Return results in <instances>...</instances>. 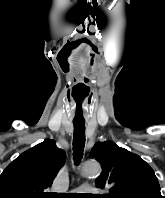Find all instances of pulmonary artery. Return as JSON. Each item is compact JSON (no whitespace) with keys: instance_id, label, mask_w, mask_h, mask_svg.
<instances>
[{"instance_id":"1","label":"pulmonary artery","mask_w":165,"mask_h":198,"mask_svg":"<svg viewBox=\"0 0 165 198\" xmlns=\"http://www.w3.org/2000/svg\"><path fill=\"white\" fill-rule=\"evenodd\" d=\"M90 190H93V187L88 186V185H82L78 188V191L80 192H88Z\"/></svg>"}]
</instances>
